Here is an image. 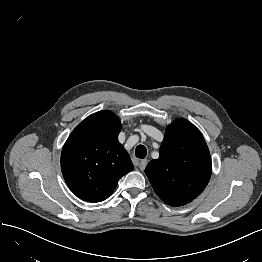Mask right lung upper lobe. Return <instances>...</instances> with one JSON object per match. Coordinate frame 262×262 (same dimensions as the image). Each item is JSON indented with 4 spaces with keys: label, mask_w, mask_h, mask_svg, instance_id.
Segmentation results:
<instances>
[{
    "label": "right lung upper lobe",
    "mask_w": 262,
    "mask_h": 262,
    "mask_svg": "<svg viewBox=\"0 0 262 262\" xmlns=\"http://www.w3.org/2000/svg\"><path fill=\"white\" fill-rule=\"evenodd\" d=\"M119 118L103 110L84 119L70 134L61 154V170L71 191L89 202L103 201L118 180L133 170L118 142Z\"/></svg>",
    "instance_id": "obj_1"
}]
</instances>
